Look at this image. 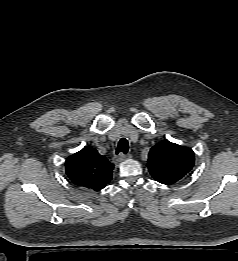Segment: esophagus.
Listing matches in <instances>:
<instances>
[{
    "mask_svg": "<svg viewBox=\"0 0 238 261\" xmlns=\"http://www.w3.org/2000/svg\"><path fill=\"white\" fill-rule=\"evenodd\" d=\"M127 157H130V154L125 155L123 153H120V154L115 156V162L119 163V162L123 161Z\"/></svg>",
    "mask_w": 238,
    "mask_h": 261,
    "instance_id": "34e87169",
    "label": "esophagus"
}]
</instances>
